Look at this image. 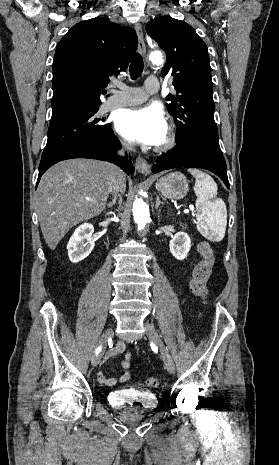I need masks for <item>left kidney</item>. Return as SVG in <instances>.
I'll use <instances>...</instances> for the list:
<instances>
[{
	"label": "left kidney",
	"mask_w": 279,
	"mask_h": 465,
	"mask_svg": "<svg viewBox=\"0 0 279 465\" xmlns=\"http://www.w3.org/2000/svg\"><path fill=\"white\" fill-rule=\"evenodd\" d=\"M169 248L177 260H184L191 248L189 235L185 232H177L170 240Z\"/></svg>",
	"instance_id": "1"
}]
</instances>
